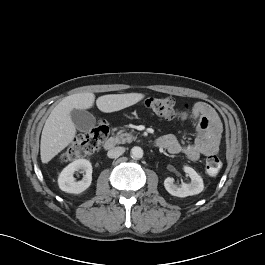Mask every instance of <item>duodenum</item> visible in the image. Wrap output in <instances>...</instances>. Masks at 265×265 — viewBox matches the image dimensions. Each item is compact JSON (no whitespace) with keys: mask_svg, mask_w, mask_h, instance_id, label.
Returning a JSON list of instances; mask_svg holds the SVG:
<instances>
[{"mask_svg":"<svg viewBox=\"0 0 265 265\" xmlns=\"http://www.w3.org/2000/svg\"><path fill=\"white\" fill-rule=\"evenodd\" d=\"M156 145L162 147V139L161 138H158L156 140ZM115 146H116V141L113 137L108 138L104 144L105 149L108 151L113 150L115 148Z\"/></svg>","mask_w":265,"mask_h":265,"instance_id":"410a0bca","label":"duodenum"}]
</instances>
